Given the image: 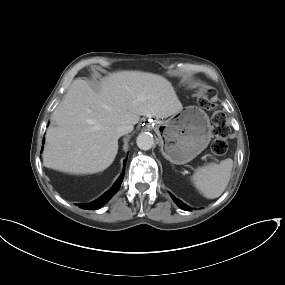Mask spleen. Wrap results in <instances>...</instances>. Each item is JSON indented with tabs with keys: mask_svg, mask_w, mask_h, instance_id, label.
Instances as JSON below:
<instances>
[{
	"mask_svg": "<svg viewBox=\"0 0 285 285\" xmlns=\"http://www.w3.org/2000/svg\"><path fill=\"white\" fill-rule=\"evenodd\" d=\"M233 160L228 158L217 163H210L199 168L192 177L195 187L207 199L219 197L226 189L231 171Z\"/></svg>",
	"mask_w": 285,
	"mask_h": 285,
	"instance_id": "spleen-1",
	"label": "spleen"
}]
</instances>
